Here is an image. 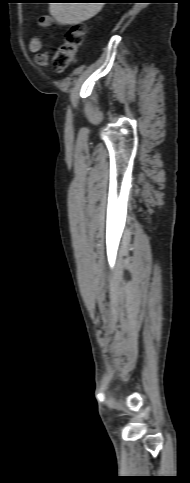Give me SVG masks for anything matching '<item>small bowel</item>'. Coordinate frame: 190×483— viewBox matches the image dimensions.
Listing matches in <instances>:
<instances>
[{"mask_svg": "<svg viewBox=\"0 0 190 483\" xmlns=\"http://www.w3.org/2000/svg\"><path fill=\"white\" fill-rule=\"evenodd\" d=\"M53 18L47 15L41 16L39 18V24L42 27H51L53 25ZM43 46L42 37L40 34L32 36L29 41V51L35 54V60L39 66H47L49 53L48 51H41Z\"/></svg>", "mask_w": 190, "mask_h": 483, "instance_id": "small-bowel-1", "label": "small bowel"}]
</instances>
